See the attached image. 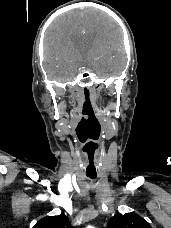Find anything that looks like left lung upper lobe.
<instances>
[{
    "instance_id": "left-lung-upper-lobe-1",
    "label": "left lung upper lobe",
    "mask_w": 171,
    "mask_h": 228,
    "mask_svg": "<svg viewBox=\"0 0 171 228\" xmlns=\"http://www.w3.org/2000/svg\"><path fill=\"white\" fill-rule=\"evenodd\" d=\"M107 228H152L149 223L141 216L134 213L113 216Z\"/></svg>"
}]
</instances>
